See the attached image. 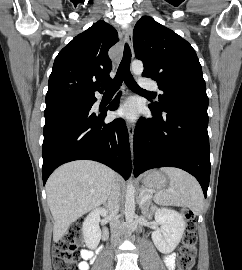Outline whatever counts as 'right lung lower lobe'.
Returning a JSON list of instances; mask_svg holds the SVG:
<instances>
[{
    "label": "right lung lower lobe",
    "instance_id": "right-lung-lower-lobe-1",
    "mask_svg": "<svg viewBox=\"0 0 242 270\" xmlns=\"http://www.w3.org/2000/svg\"><path fill=\"white\" fill-rule=\"evenodd\" d=\"M119 97V95H118ZM118 97L109 110L118 107ZM96 98L45 109L42 177L45 185L61 164L88 159L101 162L127 179L131 171L128 131L123 119L105 124L106 111L91 112Z\"/></svg>",
    "mask_w": 242,
    "mask_h": 270
}]
</instances>
